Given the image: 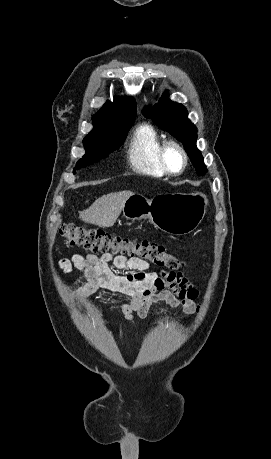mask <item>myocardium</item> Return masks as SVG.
Here are the masks:
<instances>
[{"label": "myocardium", "instance_id": "obj_1", "mask_svg": "<svg viewBox=\"0 0 271 459\" xmlns=\"http://www.w3.org/2000/svg\"><path fill=\"white\" fill-rule=\"evenodd\" d=\"M170 147L176 148L183 156L184 164L180 170H173L168 163L167 152ZM158 155L163 169L167 174L172 176L182 175L187 170L190 163V157L186 147L180 140L175 138L163 140L159 146Z\"/></svg>", "mask_w": 271, "mask_h": 459}]
</instances>
